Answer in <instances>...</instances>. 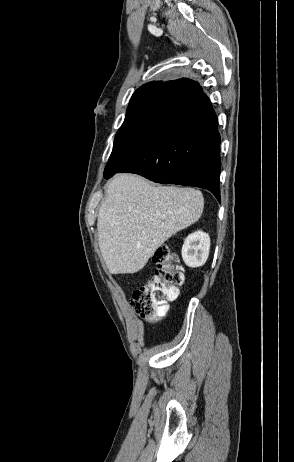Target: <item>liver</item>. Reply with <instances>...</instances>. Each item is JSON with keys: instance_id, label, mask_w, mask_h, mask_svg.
<instances>
[{"instance_id": "1", "label": "liver", "mask_w": 294, "mask_h": 462, "mask_svg": "<svg viewBox=\"0 0 294 462\" xmlns=\"http://www.w3.org/2000/svg\"><path fill=\"white\" fill-rule=\"evenodd\" d=\"M105 191L97 229L112 274L140 271L166 240L197 222L204 207L199 190L155 187L131 174L116 175Z\"/></svg>"}]
</instances>
